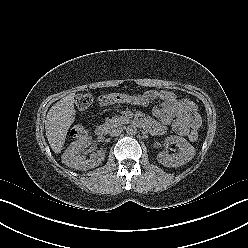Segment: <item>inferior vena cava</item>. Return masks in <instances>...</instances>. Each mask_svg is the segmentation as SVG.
I'll return each instance as SVG.
<instances>
[{"mask_svg":"<svg viewBox=\"0 0 248 248\" xmlns=\"http://www.w3.org/2000/svg\"><path fill=\"white\" fill-rule=\"evenodd\" d=\"M123 129L122 127H117V128H114L110 131V135L111 136H118L122 133Z\"/></svg>","mask_w":248,"mask_h":248,"instance_id":"obj_1","label":"inferior vena cava"}]
</instances>
